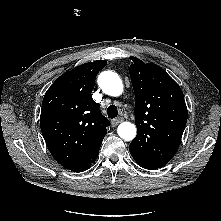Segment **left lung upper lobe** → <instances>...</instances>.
<instances>
[{
	"label": "left lung upper lobe",
	"mask_w": 221,
	"mask_h": 221,
	"mask_svg": "<svg viewBox=\"0 0 221 221\" xmlns=\"http://www.w3.org/2000/svg\"><path fill=\"white\" fill-rule=\"evenodd\" d=\"M130 59L138 133L129 150L140 166L160 168L175 155L187 122L183 92L161 67Z\"/></svg>",
	"instance_id": "left-lung-upper-lobe-1"
}]
</instances>
